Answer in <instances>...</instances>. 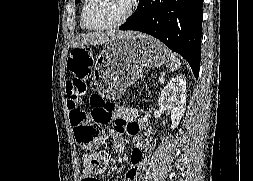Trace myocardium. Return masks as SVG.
I'll list each match as a JSON object with an SVG mask.
<instances>
[{"label":"myocardium","instance_id":"1","mask_svg":"<svg viewBox=\"0 0 253 181\" xmlns=\"http://www.w3.org/2000/svg\"><path fill=\"white\" fill-rule=\"evenodd\" d=\"M91 2L92 0H85L84 6L81 12V20H82L83 26L86 29L92 30V31H104V30L114 29V28L122 26L132 17L135 10V4H136V0H129V6H128L127 12L118 21L111 24L103 25V26H93L88 22V19H87V11Z\"/></svg>","mask_w":253,"mask_h":181}]
</instances>
